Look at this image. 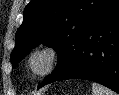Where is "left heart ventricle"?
<instances>
[{
    "instance_id": "obj_1",
    "label": "left heart ventricle",
    "mask_w": 119,
    "mask_h": 95,
    "mask_svg": "<svg viewBox=\"0 0 119 95\" xmlns=\"http://www.w3.org/2000/svg\"><path fill=\"white\" fill-rule=\"evenodd\" d=\"M45 63V57L43 56H38L37 58H35V60L33 61V66L36 69L41 68Z\"/></svg>"
}]
</instances>
